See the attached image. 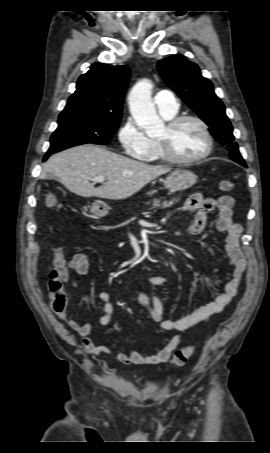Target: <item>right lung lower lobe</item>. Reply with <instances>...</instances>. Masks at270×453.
Masks as SVG:
<instances>
[{
    "label": "right lung lower lobe",
    "instance_id": "1",
    "mask_svg": "<svg viewBox=\"0 0 270 453\" xmlns=\"http://www.w3.org/2000/svg\"><path fill=\"white\" fill-rule=\"evenodd\" d=\"M50 155H51V153H46V155L44 156L43 160L45 161Z\"/></svg>",
    "mask_w": 270,
    "mask_h": 453
}]
</instances>
